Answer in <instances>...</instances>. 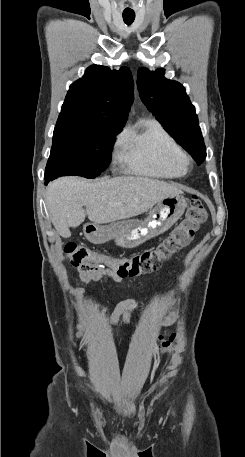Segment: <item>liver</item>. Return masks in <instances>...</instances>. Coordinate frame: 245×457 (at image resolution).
<instances>
[{
    "label": "liver",
    "instance_id": "1",
    "mask_svg": "<svg viewBox=\"0 0 245 457\" xmlns=\"http://www.w3.org/2000/svg\"><path fill=\"white\" fill-rule=\"evenodd\" d=\"M179 192H182L181 188L173 184L146 176H114L100 180L60 176L49 182L46 204L58 235L67 239L71 237L69 226H79L85 220L86 212L95 224L114 222L142 214L161 198Z\"/></svg>",
    "mask_w": 245,
    "mask_h": 457
}]
</instances>
